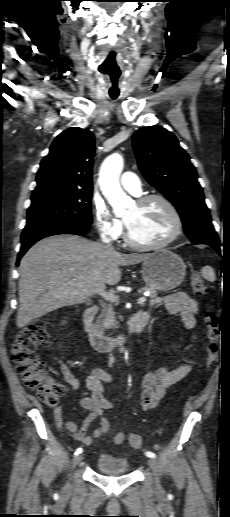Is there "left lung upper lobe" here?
Returning a JSON list of instances; mask_svg holds the SVG:
<instances>
[{
    "label": "left lung upper lobe",
    "instance_id": "5c2ea615",
    "mask_svg": "<svg viewBox=\"0 0 230 517\" xmlns=\"http://www.w3.org/2000/svg\"><path fill=\"white\" fill-rule=\"evenodd\" d=\"M132 143L141 172L176 207L192 243L218 241L196 169L175 135L161 126L144 127Z\"/></svg>",
    "mask_w": 230,
    "mask_h": 517
}]
</instances>
